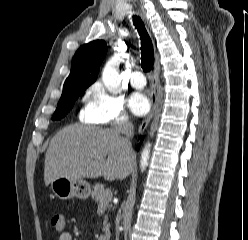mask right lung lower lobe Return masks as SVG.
I'll return each instance as SVG.
<instances>
[{
  "instance_id": "obj_1",
  "label": "right lung lower lobe",
  "mask_w": 248,
  "mask_h": 240,
  "mask_svg": "<svg viewBox=\"0 0 248 240\" xmlns=\"http://www.w3.org/2000/svg\"><path fill=\"white\" fill-rule=\"evenodd\" d=\"M140 139H141V143H142L143 138H142V137H140ZM139 146H140V144L137 146V149H139Z\"/></svg>"
}]
</instances>
